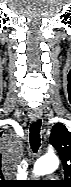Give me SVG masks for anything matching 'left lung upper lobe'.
Wrapping results in <instances>:
<instances>
[{
    "instance_id": "1",
    "label": "left lung upper lobe",
    "mask_w": 71,
    "mask_h": 187,
    "mask_svg": "<svg viewBox=\"0 0 71 187\" xmlns=\"http://www.w3.org/2000/svg\"><path fill=\"white\" fill-rule=\"evenodd\" d=\"M50 143L57 150L63 164L65 181L64 184H70L71 178V132L61 123L52 127ZM66 186V185H65Z\"/></svg>"
}]
</instances>
